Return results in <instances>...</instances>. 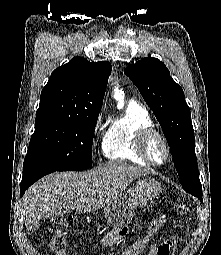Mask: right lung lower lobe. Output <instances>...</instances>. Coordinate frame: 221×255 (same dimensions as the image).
Returning <instances> with one entry per match:
<instances>
[{
    "label": "right lung lower lobe",
    "instance_id": "98d812e1",
    "mask_svg": "<svg viewBox=\"0 0 221 255\" xmlns=\"http://www.w3.org/2000/svg\"><path fill=\"white\" fill-rule=\"evenodd\" d=\"M52 172L54 171L47 169H30L26 172H23V177L20 185V196L22 197L26 189L29 188L34 182Z\"/></svg>",
    "mask_w": 221,
    "mask_h": 255
}]
</instances>
